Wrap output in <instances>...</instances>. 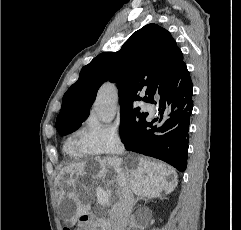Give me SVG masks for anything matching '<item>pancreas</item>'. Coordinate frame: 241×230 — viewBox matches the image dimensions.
<instances>
[{
  "label": "pancreas",
  "instance_id": "cf45deb5",
  "mask_svg": "<svg viewBox=\"0 0 241 230\" xmlns=\"http://www.w3.org/2000/svg\"><path fill=\"white\" fill-rule=\"evenodd\" d=\"M91 230H110L109 222L105 218H96L91 226Z\"/></svg>",
  "mask_w": 241,
  "mask_h": 230
}]
</instances>
